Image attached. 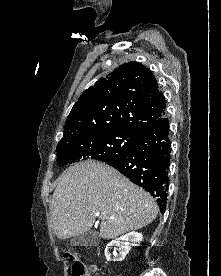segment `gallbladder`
I'll use <instances>...</instances> for the list:
<instances>
[{
  "instance_id": "obj_1",
  "label": "gallbladder",
  "mask_w": 221,
  "mask_h": 276,
  "mask_svg": "<svg viewBox=\"0 0 221 276\" xmlns=\"http://www.w3.org/2000/svg\"><path fill=\"white\" fill-rule=\"evenodd\" d=\"M73 246H95L99 243V237L95 231H88L71 239Z\"/></svg>"
}]
</instances>
